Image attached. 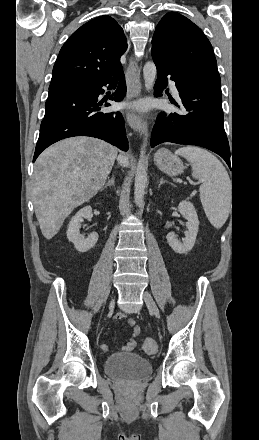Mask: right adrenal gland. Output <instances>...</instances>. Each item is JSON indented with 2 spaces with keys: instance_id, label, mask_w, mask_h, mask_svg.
I'll list each match as a JSON object with an SVG mask.
<instances>
[{
  "instance_id": "2a0ac1e0",
  "label": "right adrenal gland",
  "mask_w": 259,
  "mask_h": 440,
  "mask_svg": "<svg viewBox=\"0 0 259 440\" xmlns=\"http://www.w3.org/2000/svg\"><path fill=\"white\" fill-rule=\"evenodd\" d=\"M114 185H115V178H114V176L112 175L111 179H109V180L107 181V183L105 184V188H107V187H113Z\"/></svg>"
}]
</instances>
